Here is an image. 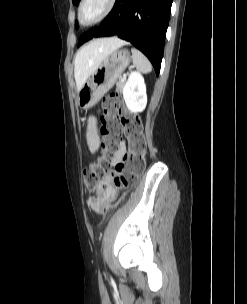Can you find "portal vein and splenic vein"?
Wrapping results in <instances>:
<instances>
[{
    "label": "portal vein and splenic vein",
    "mask_w": 247,
    "mask_h": 304,
    "mask_svg": "<svg viewBox=\"0 0 247 304\" xmlns=\"http://www.w3.org/2000/svg\"><path fill=\"white\" fill-rule=\"evenodd\" d=\"M125 79H126V74H124L122 77V80H125Z\"/></svg>",
    "instance_id": "1"
}]
</instances>
